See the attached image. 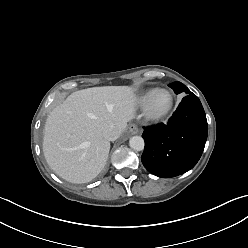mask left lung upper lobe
Returning a JSON list of instances; mask_svg holds the SVG:
<instances>
[{
	"instance_id": "1",
	"label": "left lung upper lobe",
	"mask_w": 248,
	"mask_h": 248,
	"mask_svg": "<svg viewBox=\"0 0 248 248\" xmlns=\"http://www.w3.org/2000/svg\"><path fill=\"white\" fill-rule=\"evenodd\" d=\"M176 94L185 93L186 95L191 94L190 90L181 82H174L169 85Z\"/></svg>"
}]
</instances>
